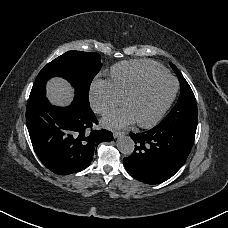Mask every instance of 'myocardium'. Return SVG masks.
<instances>
[{
  "label": "myocardium",
  "instance_id": "f54148a6",
  "mask_svg": "<svg viewBox=\"0 0 228 228\" xmlns=\"http://www.w3.org/2000/svg\"><path fill=\"white\" fill-rule=\"evenodd\" d=\"M162 78H167L170 79L173 83V87L172 90L170 92V95L168 96L167 100L164 102V104L162 105V107L160 108V110L157 112V114L148 122H140L137 121V124L142 127V128H152L155 125H157L159 123V121L162 119V117L164 116V114L166 113L167 109L169 108V106L171 105L177 88H178V82L177 80L170 74H157V75H153L151 77H148L146 79H144L138 86H136L125 98L124 103L126 105H128V103L135 98L136 96H138L140 93H142L148 85H150L152 82L158 80V79H162Z\"/></svg>",
  "mask_w": 228,
  "mask_h": 228
}]
</instances>
